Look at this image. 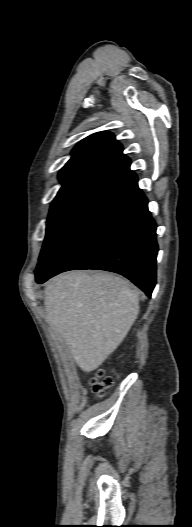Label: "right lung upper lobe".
Wrapping results in <instances>:
<instances>
[{"label":"right lung upper lobe","mask_w":192,"mask_h":527,"mask_svg":"<svg viewBox=\"0 0 192 527\" xmlns=\"http://www.w3.org/2000/svg\"><path fill=\"white\" fill-rule=\"evenodd\" d=\"M122 146L110 132L94 133L80 141L59 172L63 186L85 180L108 182L130 166Z\"/></svg>","instance_id":"1"}]
</instances>
